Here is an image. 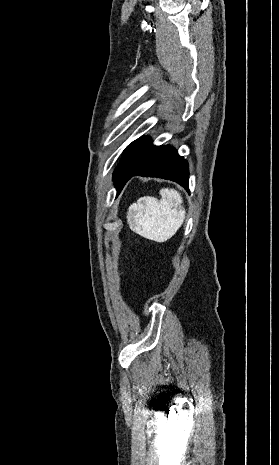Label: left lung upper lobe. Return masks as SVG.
Segmentation results:
<instances>
[{"label": "left lung upper lobe", "instance_id": "1", "mask_svg": "<svg viewBox=\"0 0 279 465\" xmlns=\"http://www.w3.org/2000/svg\"><path fill=\"white\" fill-rule=\"evenodd\" d=\"M161 146H154L149 137H141L128 145L116 167L113 179L117 191L144 165Z\"/></svg>", "mask_w": 279, "mask_h": 465}]
</instances>
